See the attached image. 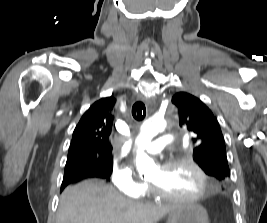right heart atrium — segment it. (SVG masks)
<instances>
[{
	"label": "right heart atrium",
	"mask_w": 267,
	"mask_h": 223,
	"mask_svg": "<svg viewBox=\"0 0 267 223\" xmlns=\"http://www.w3.org/2000/svg\"><path fill=\"white\" fill-rule=\"evenodd\" d=\"M111 180L118 192L130 197H140L147 190V185L137 179L133 168L127 164L114 163Z\"/></svg>",
	"instance_id": "obj_1"
}]
</instances>
